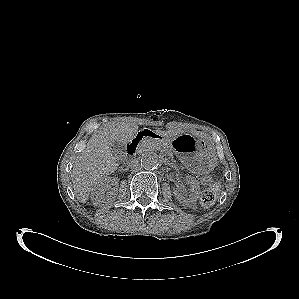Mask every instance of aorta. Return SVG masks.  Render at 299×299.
<instances>
[{
    "label": "aorta",
    "mask_w": 299,
    "mask_h": 299,
    "mask_svg": "<svg viewBox=\"0 0 299 299\" xmlns=\"http://www.w3.org/2000/svg\"><path fill=\"white\" fill-rule=\"evenodd\" d=\"M142 166L147 170H153L161 165V160L155 153L144 154L141 159Z\"/></svg>",
    "instance_id": "obj_1"
}]
</instances>
